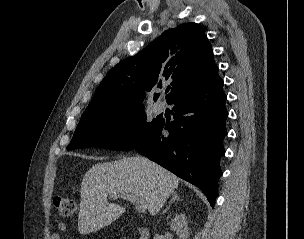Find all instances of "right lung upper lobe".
<instances>
[{
    "instance_id": "right-lung-upper-lobe-1",
    "label": "right lung upper lobe",
    "mask_w": 304,
    "mask_h": 239,
    "mask_svg": "<svg viewBox=\"0 0 304 239\" xmlns=\"http://www.w3.org/2000/svg\"><path fill=\"white\" fill-rule=\"evenodd\" d=\"M218 70L204 29L184 23L165 31L142 51L122 60L104 78L81 118L120 105H139L143 91L171 81L168 102L178 93L207 79ZM159 94L154 95V100Z\"/></svg>"
}]
</instances>
